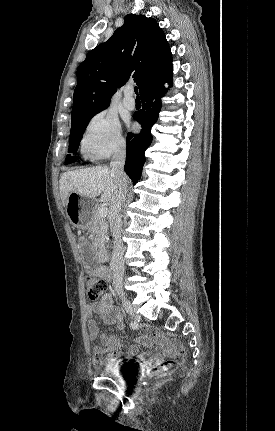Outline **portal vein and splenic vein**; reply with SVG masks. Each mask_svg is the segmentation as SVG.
Returning a JSON list of instances; mask_svg holds the SVG:
<instances>
[{
    "label": "portal vein and splenic vein",
    "instance_id": "1",
    "mask_svg": "<svg viewBox=\"0 0 275 431\" xmlns=\"http://www.w3.org/2000/svg\"><path fill=\"white\" fill-rule=\"evenodd\" d=\"M107 214H108V208L107 207H101L99 209L100 217L105 218L107 216Z\"/></svg>",
    "mask_w": 275,
    "mask_h": 431
}]
</instances>
